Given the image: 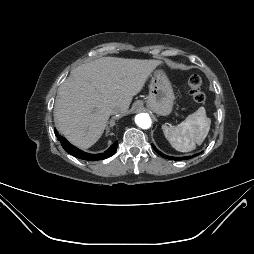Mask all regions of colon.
I'll use <instances>...</instances> for the list:
<instances>
[{"instance_id": "5ec220e1", "label": "colon", "mask_w": 254, "mask_h": 254, "mask_svg": "<svg viewBox=\"0 0 254 254\" xmlns=\"http://www.w3.org/2000/svg\"><path fill=\"white\" fill-rule=\"evenodd\" d=\"M202 87V79L198 75H192L188 80V88L189 94L191 95L192 99L198 103H204L206 96L201 89Z\"/></svg>"}]
</instances>
